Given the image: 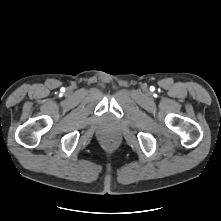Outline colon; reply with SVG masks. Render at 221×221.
Masks as SVG:
<instances>
[{"label": "colon", "mask_w": 221, "mask_h": 221, "mask_svg": "<svg viewBox=\"0 0 221 221\" xmlns=\"http://www.w3.org/2000/svg\"><path fill=\"white\" fill-rule=\"evenodd\" d=\"M104 146L108 150H113L116 147V142L113 139H106L104 141Z\"/></svg>", "instance_id": "obj_1"}]
</instances>
